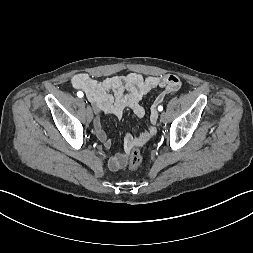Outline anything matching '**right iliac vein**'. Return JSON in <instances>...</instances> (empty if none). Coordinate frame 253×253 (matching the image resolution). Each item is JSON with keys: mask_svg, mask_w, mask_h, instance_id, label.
I'll list each match as a JSON object with an SVG mask.
<instances>
[{"mask_svg": "<svg viewBox=\"0 0 253 253\" xmlns=\"http://www.w3.org/2000/svg\"><path fill=\"white\" fill-rule=\"evenodd\" d=\"M86 119L88 122H91L93 119V112L90 106H88L86 109Z\"/></svg>", "mask_w": 253, "mask_h": 253, "instance_id": "right-iliac-vein-1", "label": "right iliac vein"}]
</instances>
